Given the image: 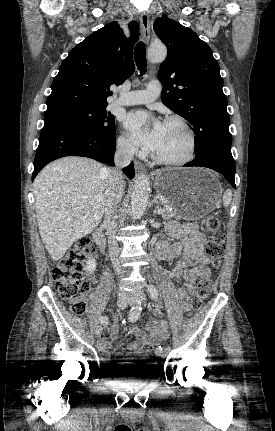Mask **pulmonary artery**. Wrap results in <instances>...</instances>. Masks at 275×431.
<instances>
[{"label": "pulmonary artery", "instance_id": "pulmonary-artery-1", "mask_svg": "<svg viewBox=\"0 0 275 431\" xmlns=\"http://www.w3.org/2000/svg\"><path fill=\"white\" fill-rule=\"evenodd\" d=\"M160 91V83L158 81H151L144 90L122 94L116 103L120 105L149 104L158 98Z\"/></svg>", "mask_w": 275, "mask_h": 431}]
</instances>
